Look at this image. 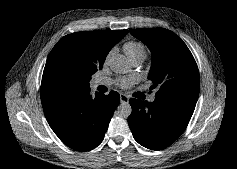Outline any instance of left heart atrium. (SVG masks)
<instances>
[{"mask_svg": "<svg viewBox=\"0 0 237 169\" xmlns=\"http://www.w3.org/2000/svg\"><path fill=\"white\" fill-rule=\"evenodd\" d=\"M133 78L132 77H125V78H122L120 81H119V84L121 87H128L130 86L132 83H133Z\"/></svg>", "mask_w": 237, "mask_h": 169, "instance_id": "obj_1", "label": "left heart atrium"}]
</instances>
